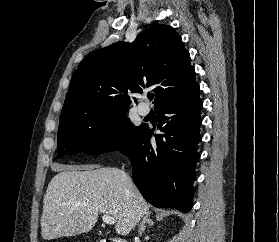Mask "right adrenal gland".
<instances>
[{
    "label": "right adrenal gland",
    "mask_w": 279,
    "mask_h": 242,
    "mask_svg": "<svg viewBox=\"0 0 279 242\" xmlns=\"http://www.w3.org/2000/svg\"><path fill=\"white\" fill-rule=\"evenodd\" d=\"M145 224H148L150 226L154 224L153 220L150 219V213L145 214L141 224L139 225V229H138L139 236H141L142 233L145 231Z\"/></svg>",
    "instance_id": "right-adrenal-gland-1"
}]
</instances>
